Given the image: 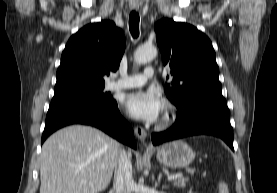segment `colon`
<instances>
[{"label": "colon", "instance_id": "obj_1", "mask_svg": "<svg viewBox=\"0 0 277 193\" xmlns=\"http://www.w3.org/2000/svg\"><path fill=\"white\" fill-rule=\"evenodd\" d=\"M218 193H230L229 187L226 182L220 181L218 184Z\"/></svg>", "mask_w": 277, "mask_h": 193}]
</instances>
